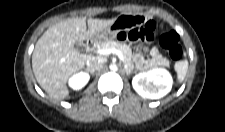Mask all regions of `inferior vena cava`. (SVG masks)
I'll list each match as a JSON object with an SVG mask.
<instances>
[{
    "instance_id": "1",
    "label": "inferior vena cava",
    "mask_w": 225,
    "mask_h": 132,
    "mask_svg": "<svg viewBox=\"0 0 225 132\" xmlns=\"http://www.w3.org/2000/svg\"><path fill=\"white\" fill-rule=\"evenodd\" d=\"M105 62V59L102 58V57H90L86 64H87V67L89 69V71H95V70H98L102 67L103 63Z\"/></svg>"
}]
</instances>
